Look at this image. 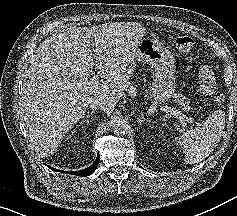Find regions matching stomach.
Masks as SVG:
<instances>
[{
    "mask_svg": "<svg viewBox=\"0 0 237 216\" xmlns=\"http://www.w3.org/2000/svg\"><path fill=\"white\" fill-rule=\"evenodd\" d=\"M136 55L140 62L150 64L156 70L153 97L160 102L168 101L175 92L173 61L168 48L158 41L144 39L137 46Z\"/></svg>",
    "mask_w": 237,
    "mask_h": 216,
    "instance_id": "stomach-1",
    "label": "stomach"
}]
</instances>
